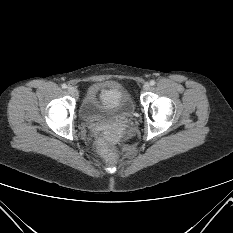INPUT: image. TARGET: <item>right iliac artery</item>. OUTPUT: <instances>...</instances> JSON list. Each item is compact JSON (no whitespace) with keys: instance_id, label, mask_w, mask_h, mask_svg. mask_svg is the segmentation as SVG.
I'll return each mask as SVG.
<instances>
[{"instance_id":"right-iliac-artery-1","label":"right iliac artery","mask_w":233,"mask_h":233,"mask_svg":"<svg viewBox=\"0 0 233 233\" xmlns=\"http://www.w3.org/2000/svg\"><path fill=\"white\" fill-rule=\"evenodd\" d=\"M62 88H63V89H66V88H67V85H66V84H62Z\"/></svg>"}]
</instances>
